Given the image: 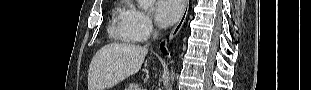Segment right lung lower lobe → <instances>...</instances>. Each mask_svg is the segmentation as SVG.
I'll return each mask as SVG.
<instances>
[{"label":"right lung lower lobe","mask_w":311,"mask_h":90,"mask_svg":"<svg viewBox=\"0 0 311 90\" xmlns=\"http://www.w3.org/2000/svg\"><path fill=\"white\" fill-rule=\"evenodd\" d=\"M161 50H162V52H163L164 54H166V51H165V49H164V47H163V44H161Z\"/></svg>","instance_id":"98d812e1"}]
</instances>
